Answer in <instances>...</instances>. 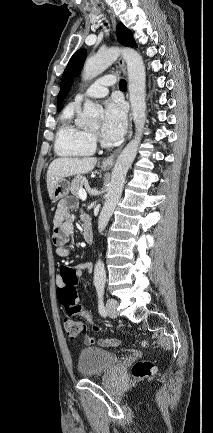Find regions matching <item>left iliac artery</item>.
Instances as JSON below:
<instances>
[{
	"label": "left iliac artery",
	"mask_w": 213,
	"mask_h": 433,
	"mask_svg": "<svg viewBox=\"0 0 213 433\" xmlns=\"http://www.w3.org/2000/svg\"><path fill=\"white\" fill-rule=\"evenodd\" d=\"M97 295H98L99 314L101 316L105 317L107 315V310L105 309L104 302H103V299H104V287L103 286L97 287Z\"/></svg>",
	"instance_id": "obj_1"
}]
</instances>
